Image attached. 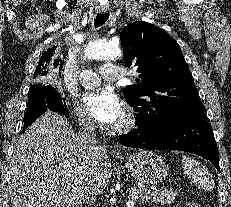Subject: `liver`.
<instances>
[{"label": "liver", "instance_id": "1", "mask_svg": "<svg viewBox=\"0 0 231 207\" xmlns=\"http://www.w3.org/2000/svg\"><path fill=\"white\" fill-rule=\"evenodd\" d=\"M10 163L11 207H77L86 177L99 194L112 176L104 148L89 156L72 125L50 110L19 137Z\"/></svg>", "mask_w": 231, "mask_h": 207}]
</instances>
